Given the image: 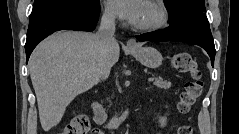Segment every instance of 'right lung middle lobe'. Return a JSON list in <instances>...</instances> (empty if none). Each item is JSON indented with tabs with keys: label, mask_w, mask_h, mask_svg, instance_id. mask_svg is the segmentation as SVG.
Segmentation results:
<instances>
[{
	"label": "right lung middle lobe",
	"mask_w": 239,
	"mask_h": 134,
	"mask_svg": "<svg viewBox=\"0 0 239 134\" xmlns=\"http://www.w3.org/2000/svg\"><path fill=\"white\" fill-rule=\"evenodd\" d=\"M61 1H76L85 5H96L99 4V0H34L33 12L40 10L41 8L56 2Z\"/></svg>",
	"instance_id": "dd1d6c3e"
}]
</instances>
